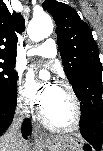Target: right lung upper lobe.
<instances>
[{"instance_id":"cb5924a9","label":"right lung upper lobe","mask_w":103,"mask_h":151,"mask_svg":"<svg viewBox=\"0 0 103 151\" xmlns=\"http://www.w3.org/2000/svg\"><path fill=\"white\" fill-rule=\"evenodd\" d=\"M25 29L24 19L16 13L11 14L4 4L0 1V62H16V32H22Z\"/></svg>"}]
</instances>
